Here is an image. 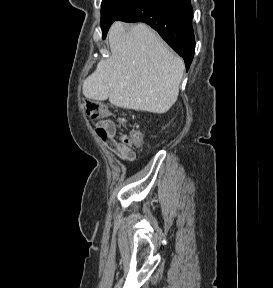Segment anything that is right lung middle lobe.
Masks as SVG:
<instances>
[{"label": "right lung middle lobe", "instance_id": "1", "mask_svg": "<svg viewBox=\"0 0 273 288\" xmlns=\"http://www.w3.org/2000/svg\"><path fill=\"white\" fill-rule=\"evenodd\" d=\"M137 0H102L101 3V28L102 37L105 39L111 24L118 20Z\"/></svg>", "mask_w": 273, "mask_h": 288}]
</instances>
